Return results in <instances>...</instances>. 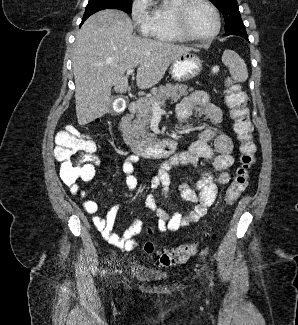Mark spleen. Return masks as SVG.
Returning <instances> with one entry per match:
<instances>
[{
    "instance_id": "spleen-1",
    "label": "spleen",
    "mask_w": 298,
    "mask_h": 325,
    "mask_svg": "<svg viewBox=\"0 0 298 325\" xmlns=\"http://www.w3.org/2000/svg\"><path fill=\"white\" fill-rule=\"evenodd\" d=\"M222 62L229 68V72L238 82H245L248 78V68L245 60L239 56L235 50H229L226 48L222 54Z\"/></svg>"
}]
</instances>
